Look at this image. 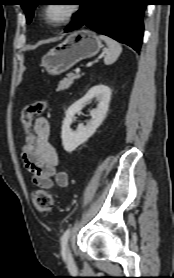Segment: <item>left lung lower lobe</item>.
Instances as JSON below:
<instances>
[{
    "label": "left lung lower lobe",
    "instance_id": "left-lung-lower-lobe-1",
    "mask_svg": "<svg viewBox=\"0 0 174 278\" xmlns=\"http://www.w3.org/2000/svg\"><path fill=\"white\" fill-rule=\"evenodd\" d=\"M146 6L147 0H85L65 31L87 26L139 52Z\"/></svg>",
    "mask_w": 174,
    "mask_h": 278
}]
</instances>
